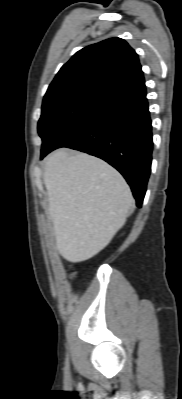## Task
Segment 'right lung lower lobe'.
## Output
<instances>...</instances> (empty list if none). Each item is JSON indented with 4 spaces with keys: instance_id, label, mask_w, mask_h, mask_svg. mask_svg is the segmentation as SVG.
<instances>
[{
    "instance_id": "right-lung-lower-lobe-1",
    "label": "right lung lower lobe",
    "mask_w": 182,
    "mask_h": 399,
    "mask_svg": "<svg viewBox=\"0 0 182 399\" xmlns=\"http://www.w3.org/2000/svg\"><path fill=\"white\" fill-rule=\"evenodd\" d=\"M69 147L99 157L115 167L141 207L151 171L152 126L146 87L115 94L60 132L41 159Z\"/></svg>"
}]
</instances>
